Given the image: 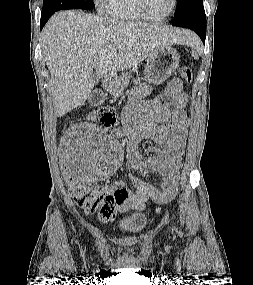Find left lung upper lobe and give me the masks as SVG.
Returning <instances> with one entry per match:
<instances>
[{"label": "left lung upper lobe", "instance_id": "5c2ea615", "mask_svg": "<svg viewBox=\"0 0 253 285\" xmlns=\"http://www.w3.org/2000/svg\"><path fill=\"white\" fill-rule=\"evenodd\" d=\"M203 3V0H178L177 11L174 14V18L182 16L184 13L188 12L192 7Z\"/></svg>", "mask_w": 253, "mask_h": 285}]
</instances>
